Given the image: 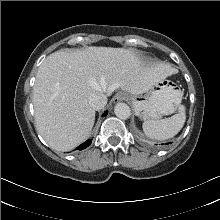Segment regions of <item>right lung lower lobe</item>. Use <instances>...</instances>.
<instances>
[{"label":"right lung lower lobe","mask_w":220,"mask_h":220,"mask_svg":"<svg viewBox=\"0 0 220 220\" xmlns=\"http://www.w3.org/2000/svg\"><path fill=\"white\" fill-rule=\"evenodd\" d=\"M107 114V111L104 113V116ZM91 144V140H87L86 142H84L83 144H81L80 146H78L76 149L77 150H83L86 147H88Z\"/></svg>","instance_id":"98d812e1"}]
</instances>
